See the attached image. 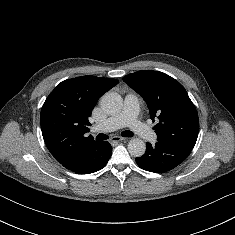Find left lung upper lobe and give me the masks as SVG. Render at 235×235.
Returning <instances> with one entry per match:
<instances>
[{
  "label": "left lung upper lobe",
  "instance_id": "obj_1",
  "mask_svg": "<svg viewBox=\"0 0 235 235\" xmlns=\"http://www.w3.org/2000/svg\"><path fill=\"white\" fill-rule=\"evenodd\" d=\"M148 105L157 140L193 149L198 137L197 110L184 87L169 75L142 70L123 77Z\"/></svg>",
  "mask_w": 235,
  "mask_h": 235
}]
</instances>
